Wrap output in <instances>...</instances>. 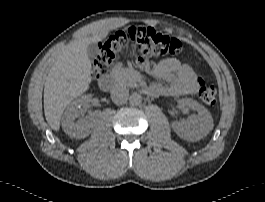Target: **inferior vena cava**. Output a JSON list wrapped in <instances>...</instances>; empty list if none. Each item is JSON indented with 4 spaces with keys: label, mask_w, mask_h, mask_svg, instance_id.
<instances>
[{
    "label": "inferior vena cava",
    "mask_w": 265,
    "mask_h": 202,
    "mask_svg": "<svg viewBox=\"0 0 265 202\" xmlns=\"http://www.w3.org/2000/svg\"><path fill=\"white\" fill-rule=\"evenodd\" d=\"M129 90L121 85L115 86L111 91L112 101L117 105H122L127 102Z\"/></svg>",
    "instance_id": "obj_1"
}]
</instances>
